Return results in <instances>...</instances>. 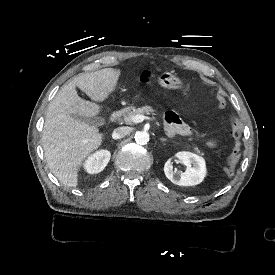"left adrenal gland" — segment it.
I'll return each instance as SVG.
<instances>
[{
  "instance_id": "left-adrenal-gland-1",
  "label": "left adrenal gland",
  "mask_w": 275,
  "mask_h": 275,
  "mask_svg": "<svg viewBox=\"0 0 275 275\" xmlns=\"http://www.w3.org/2000/svg\"><path fill=\"white\" fill-rule=\"evenodd\" d=\"M160 141H167L166 138H159Z\"/></svg>"
}]
</instances>
